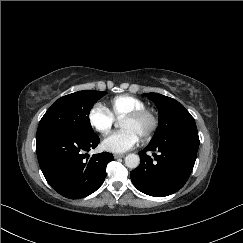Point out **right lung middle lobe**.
Segmentation results:
<instances>
[{
	"label": "right lung middle lobe",
	"mask_w": 243,
	"mask_h": 243,
	"mask_svg": "<svg viewBox=\"0 0 243 243\" xmlns=\"http://www.w3.org/2000/svg\"><path fill=\"white\" fill-rule=\"evenodd\" d=\"M107 92L79 91L59 98L39 122L37 134L63 132L79 136L94 135L89 113L93 105Z\"/></svg>",
	"instance_id": "1"
}]
</instances>
